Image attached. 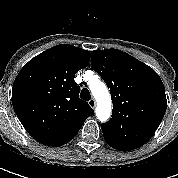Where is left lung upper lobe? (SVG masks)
Masks as SVG:
<instances>
[{"label":"left lung upper lobe","instance_id":"left-lung-upper-lobe-1","mask_svg":"<svg viewBox=\"0 0 178 178\" xmlns=\"http://www.w3.org/2000/svg\"><path fill=\"white\" fill-rule=\"evenodd\" d=\"M91 66L110 89L112 118L101 125L108 145L130 151L144 145L159 127L166 108L159 75L131 55L104 49L91 52Z\"/></svg>","mask_w":178,"mask_h":178}]
</instances>
